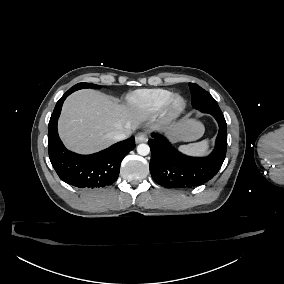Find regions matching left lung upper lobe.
Masks as SVG:
<instances>
[{"label":"left lung upper lobe","instance_id":"1","mask_svg":"<svg viewBox=\"0 0 284 284\" xmlns=\"http://www.w3.org/2000/svg\"><path fill=\"white\" fill-rule=\"evenodd\" d=\"M191 95H192V106L197 107L202 104L217 103L215 99L199 85L195 83H189Z\"/></svg>","mask_w":284,"mask_h":284}]
</instances>
